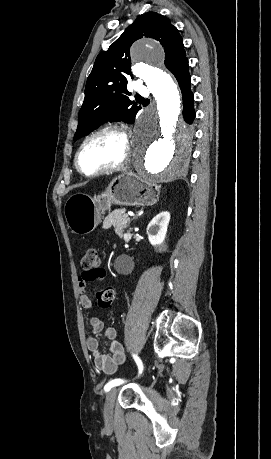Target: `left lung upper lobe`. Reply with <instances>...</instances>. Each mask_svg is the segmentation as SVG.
Masks as SVG:
<instances>
[{
    "label": "left lung upper lobe",
    "mask_w": 271,
    "mask_h": 459,
    "mask_svg": "<svg viewBox=\"0 0 271 459\" xmlns=\"http://www.w3.org/2000/svg\"><path fill=\"white\" fill-rule=\"evenodd\" d=\"M142 37L160 42L165 52V65L171 72L186 59L182 38L169 19L155 12L139 16L108 50L97 56L87 79L74 141L109 120L134 123L141 107L126 96L130 95L128 78L132 77L129 50L133 42Z\"/></svg>",
    "instance_id": "left-lung-upper-lobe-1"
}]
</instances>
